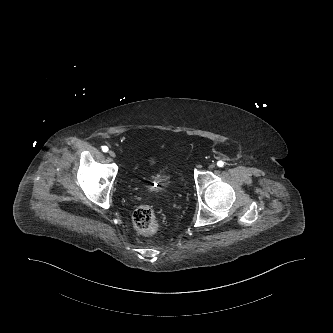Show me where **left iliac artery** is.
<instances>
[{
  "label": "left iliac artery",
  "mask_w": 333,
  "mask_h": 333,
  "mask_svg": "<svg viewBox=\"0 0 333 333\" xmlns=\"http://www.w3.org/2000/svg\"><path fill=\"white\" fill-rule=\"evenodd\" d=\"M217 166H218V167H223V166H224V162L221 161V160L218 161V162H217Z\"/></svg>",
  "instance_id": "obj_1"
}]
</instances>
